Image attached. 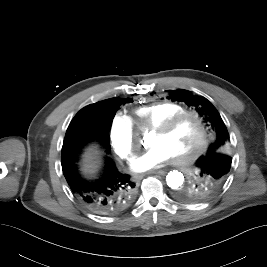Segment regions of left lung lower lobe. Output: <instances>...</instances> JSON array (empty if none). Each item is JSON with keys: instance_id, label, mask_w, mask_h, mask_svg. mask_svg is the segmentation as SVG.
Here are the masks:
<instances>
[{"instance_id": "obj_1", "label": "left lung lower lobe", "mask_w": 267, "mask_h": 267, "mask_svg": "<svg viewBox=\"0 0 267 267\" xmlns=\"http://www.w3.org/2000/svg\"><path fill=\"white\" fill-rule=\"evenodd\" d=\"M233 168V160L223 153H208L196 158L184 171L185 179L193 186L179 191L177 198L185 202L203 200L222 187Z\"/></svg>"}]
</instances>
